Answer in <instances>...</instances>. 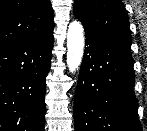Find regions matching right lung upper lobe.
Returning <instances> with one entry per match:
<instances>
[{
    "mask_svg": "<svg viewBox=\"0 0 147 131\" xmlns=\"http://www.w3.org/2000/svg\"><path fill=\"white\" fill-rule=\"evenodd\" d=\"M50 0H0V51L54 29Z\"/></svg>",
    "mask_w": 147,
    "mask_h": 131,
    "instance_id": "1",
    "label": "right lung upper lobe"
}]
</instances>
